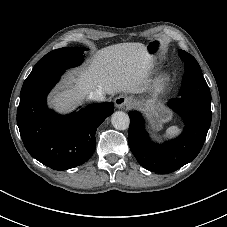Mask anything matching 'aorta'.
Returning <instances> with one entry per match:
<instances>
[{"instance_id": "aorta-1", "label": "aorta", "mask_w": 227, "mask_h": 227, "mask_svg": "<svg viewBox=\"0 0 227 227\" xmlns=\"http://www.w3.org/2000/svg\"><path fill=\"white\" fill-rule=\"evenodd\" d=\"M111 123L117 130H126L130 124V118L125 112L116 111L112 114Z\"/></svg>"}]
</instances>
